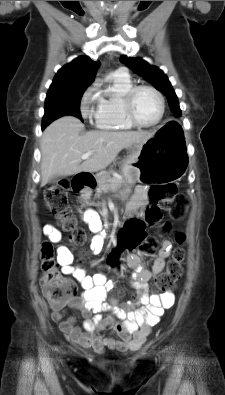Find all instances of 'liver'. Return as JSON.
<instances>
[{
    "label": "liver",
    "instance_id": "6515ba94",
    "mask_svg": "<svg viewBox=\"0 0 225 395\" xmlns=\"http://www.w3.org/2000/svg\"><path fill=\"white\" fill-rule=\"evenodd\" d=\"M82 122L65 116L52 122L41 139V186L51 177L93 173L108 167L124 148L145 143L154 132L91 131L84 135ZM93 152L90 158L81 156Z\"/></svg>",
    "mask_w": 225,
    "mask_h": 395
}]
</instances>
